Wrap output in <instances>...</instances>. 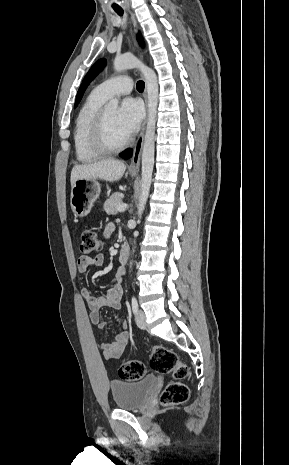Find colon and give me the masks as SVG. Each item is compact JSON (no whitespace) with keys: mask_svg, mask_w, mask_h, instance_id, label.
Segmentation results:
<instances>
[{"mask_svg":"<svg viewBox=\"0 0 289 465\" xmlns=\"http://www.w3.org/2000/svg\"><path fill=\"white\" fill-rule=\"evenodd\" d=\"M102 246V241L93 227L86 226L82 229L80 250L84 254L99 252ZM150 366L157 373H171L175 379L162 392L161 402L164 405L181 404L188 399L189 389L181 382L188 375V367L179 360L172 349L154 346L150 355ZM146 372V365L140 359L124 362L118 371L120 378L125 381H138L146 375Z\"/></svg>","mask_w":289,"mask_h":465,"instance_id":"1","label":"colon"}]
</instances>
